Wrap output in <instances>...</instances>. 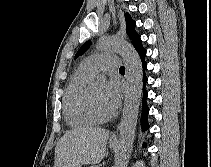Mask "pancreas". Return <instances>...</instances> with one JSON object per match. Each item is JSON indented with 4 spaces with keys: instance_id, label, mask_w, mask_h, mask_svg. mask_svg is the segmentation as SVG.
<instances>
[{
    "instance_id": "1",
    "label": "pancreas",
    "mask_w": 211,
    "mask_h": 167,
    "mask_svg": "<svg viewBox=\"0 0 211 167\" xmlns=\"http://www.w3.org/2000/svg\"><path fill=\"white\" fill-rule=\"evenodd\" d=\"M91 167H101V166L99 165V166H91Z\"/></svg>"
}]
</instances>
